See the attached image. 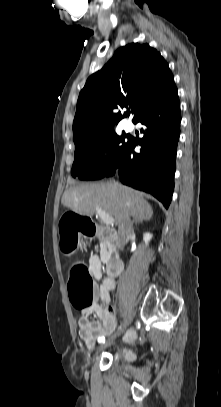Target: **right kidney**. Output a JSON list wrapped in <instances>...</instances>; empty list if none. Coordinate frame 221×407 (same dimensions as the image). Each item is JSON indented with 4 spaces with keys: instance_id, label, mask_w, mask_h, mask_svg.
<instances>
[{
    "instance_id": "obj_1",
    "label": "right kidney",
    "mask_w": 221,
    "mask_h": 407,
    "mask_svg": "<svg viewBox=\"0 0 221 407\" xmlns=\"http://www.w3.org/2000/svg\"><path fill=\"white\" fill-rule=\"evenodd\" d=\"M151 238H152V234H150L149 232H146V233L143 235V240H144V242H145L146 245H148V243H149V241L151 240Z\"/></svg>"
}]
</instances>
